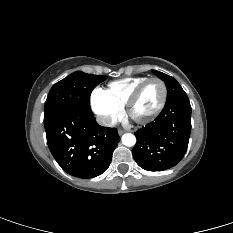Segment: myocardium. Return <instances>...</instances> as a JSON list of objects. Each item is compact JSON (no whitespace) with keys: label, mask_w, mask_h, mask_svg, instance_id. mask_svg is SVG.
<instances>
[{"label":"myocardium","mask_w":233,"mask_h":233,"mask_svg":"<svg viewBox=\"0 0 233 233\" xmlns=\"http://www.w3.org/2000/svg\"><path fill=\"white\" fill-rule=\"evenodd\" d=\"M152 81H157L161 84L162 86V98L161 101L158 105V107L148 116L144 117V118H134L132 116V108L135 105L136 101L138 100L142 90L145 88V86L152 82ZM167 86L165 84V82L158 78V77H150L147 78L146 80H144L143 82H141L135 89L134 91L131 93L130 97L128 98L126 104H125V108H126V114L132 119L134 120L136 123L138 124H147L150 123L151 121H153L163 110L165 104H166V100H167Z\"/></svg>","instance_id":"obj_1"}]
</instances>
